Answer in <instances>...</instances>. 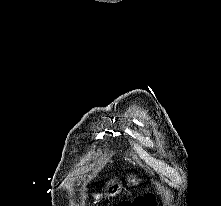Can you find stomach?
<instances>
[{"label":"stomach","mask_w":221,"mask_h":206,"mask_svg":"<svg viewBox=\"0 0 221 206\" xmlns=\"http://www.w3.org/2000/svg\"><path fill=\"white\" fill-rule=\"evenodd\" d=\"M128 182L132 186H136V185H139L140 183H142L143 179L137 175H134V176H131L128 178ZM121 190H122L121 183L118 180L113 179L107 183V185L104 189V194L103 193H96L94 198H95L96 202H101L104 198L116 196L117 194L120 193Z\"/></svg>","instance_id":"0dacf381"}]
</instances>
